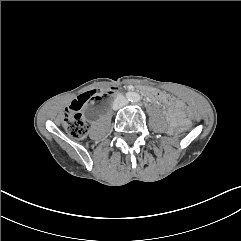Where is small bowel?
Here are the masks:
<instances>
[{
	"mask_svg": "<svg viewBox=\"0 0 241 241\" xmlns=\"http://www.w3.org/2000/svg\"><path fill=\"white\" fill-rule=\"evenodd\" d=\"M114 92H116V89L111 91V93ZM153 95L171 107V110L167 113V118L172 127L188 124L184 114L185 104L183 101L160 93H153Z\"/></svg>",
	"mask_w": 241,
	"mask_h": 241,
	"instance_id": "small-bowel-1",
	"label": "small bowel"
}]
</instances>
